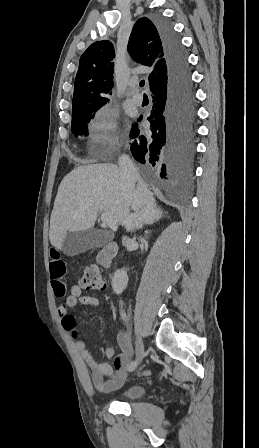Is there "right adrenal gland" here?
I'll return each mask as SVG.
<instances>
[{
  "label": "right adrenal gland",
  "mask_w": 259,
  "mask_h": 448,
  "mask_svg": "<svg viewBox=\"0 0 259 448\" xmlns=\"http://www.w3.org/2000/svg\"><path fill=\"white\" fill-rule=\"evenodd\" d=\"M140 228H142V226H140ZM140 228H135V230H140Z\"/></svg>",
  "instance_id": "obj_1"
}]
</instances>
